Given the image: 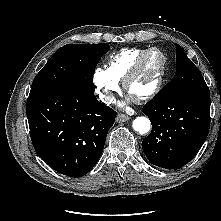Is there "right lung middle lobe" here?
Wrapping results in <instances>:
<instances>
[{
    "mask_svg": "<svg viewBox=\"0 0 221 221\" xmlns=\"http://www.w3.org/2000/svg\"><path fill=\"white\" fill-rule=\"evenodd\" d=\"M107 43L67 44L59 48L36 75L29 95L69 88L95 90L93 74Z\"/></svg>",
    "mask_w": 221,
    "mask_h": 221,
    "instance_id": "right-lung-middle-lobe-1",
    "label": "right lung middle lobe"
}]
</instances>
